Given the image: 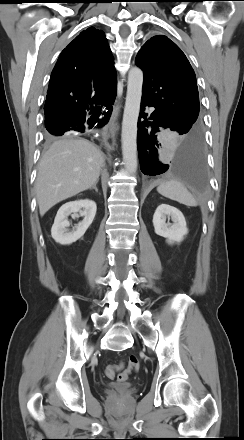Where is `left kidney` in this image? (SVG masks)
<instances>
[{
	"instance_id": "left-kidney-1",
	"label": "left kidney",
	"mask_w": 244,
	"mask_h": 440,
	"mask_svg": "<svg viewBox=\"0 0 244 440\" xmlns=\"http://www.w3.org/2000/svg\"><path fill=\"white\" fill-rule=\"evenodd\" d=\"M167 217H171L173 224H167ZM155 233L167 239L169 244L181 242L188 233L185 218L181 211L167 204L157 207L153 215Z\"/></svg>"
}]
</instances>
